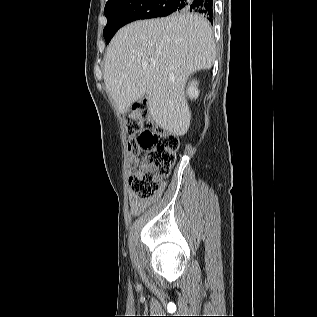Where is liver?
<instances>
[{"mask_svg":"<svg viewBox=\"0 0 317 317\" xmlns=\"http://www.w3.org/2000/svg\"><path fill=\"white\" fill-rule=\"evenodd\" d=\"M215 57L213 32L201 15L136 21L122 27L108 45L104 82L121 114L146 96L151 118L182 136L191 121L184 95L187 79L210 69Z\"/></svg>","mask_w":317,"mask_h":317,"instance_id":"6515ba94","label":"liver"}]
</instances>
